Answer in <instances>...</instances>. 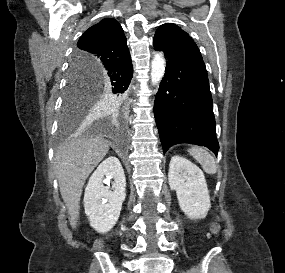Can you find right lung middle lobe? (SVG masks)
<instances>
[{
    "label": "right lung middle lobe",
    "mask_w": 285,
    "mask_h": 273,
    "mask_svg": "<svg viewBox=\"0 0 285 273\" xmlns=\"http://www.w3.org/2000/svg\"><path fill=\"white\" fill-rule=\"evenodd\" d=\"M91 77L90 74H77L73 67L70 68L60 118L63 131L72 128L97 103L119 102V94L113 95L108 90L100 92L95 77Z\"/></svg>",
    "instance_id": "right-lung-middle-lobe-1"
}]
</instances>
